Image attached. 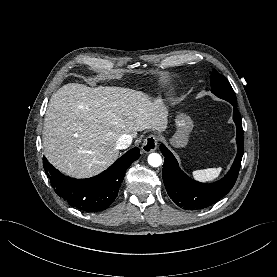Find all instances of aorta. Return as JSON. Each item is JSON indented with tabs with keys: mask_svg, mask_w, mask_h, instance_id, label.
I'll return each mask as SVG.
<instances>
[{
	"mask_svg": "<svg viewBox=\"0 0 277 277\" xmlns=\"http://www.w3.org/2000/svg\"><path fill=\"white\" fill-rule=\"evenodd\" d=\"M148 163L152 167H159L162 164V158L158 153H151L148 156Z\"/></svg>",
	"mask_w": 277,
	"mask_h": 277,
	"instance_id": "1",
	"label": "aorta"
}]
</instances>
